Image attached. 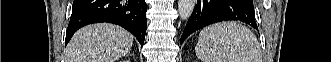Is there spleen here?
<instances>
[{"label": "spleen", "instance_id": "3e777b00", "mask_svg": "<svg viewBox=\"0 0 331 62\" xmlns=\"http://www.w3.org/2000/svg\"><path fill=\"white\" fill-rule=\"evenodd\" d=\"M202 62H259L256 36L238 22H220L204 28L196 46Z\"/></svg>", "mask_w": 331, "mask_h": 62}]
</instances>
